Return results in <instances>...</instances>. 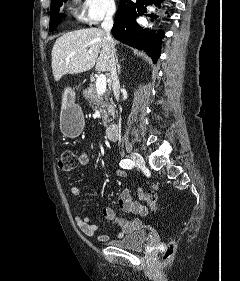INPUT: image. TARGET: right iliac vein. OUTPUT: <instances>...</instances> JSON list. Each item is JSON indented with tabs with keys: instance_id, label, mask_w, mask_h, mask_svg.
Returning <instances> with one entry per match:
<instances>
[{
	"instance_id": "right-iliac-vein-1",
	"label": "right iliac vein",
	"mask_w": 240,
	"mask_h": 281,
	"mask_svg": "<svg viewBox=\"0 0 240 281\" xmlns=\"http://www.w3.org/2000/svg\"><path fill=\"white\" fill-rule=\"evenodd\" d=\"M130 157L137 164L145 165V161H144L143 157L140 154H138L137 152H132L130 154Z\"/></svg>"
}]
</instances>
